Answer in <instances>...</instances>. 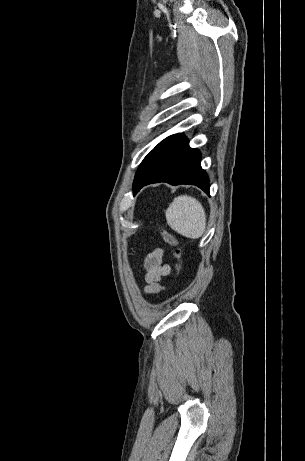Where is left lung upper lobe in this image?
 Masks as SVG:
<instances>
[{"mask_svg": "<svg viewBox=\"0 0 305 461\" xmlns=\"http://www.w3.org/2000/svg\"><path fill=\"white\" fill-rule=\"evenodd\" d=\"M151 165H152V152H150L145 158L144 160L142 161L141 165L139 166L137 172H136V175H135V179H134V184H133V187L136 185V183L142 179L146 174L147 172L149 171V169L151 168Z\"/></svg>", "mask_w": 305, "mask_h": 461, "instance_id": "obj_1", "label": "left lung upper lobe"}]
</instances>
